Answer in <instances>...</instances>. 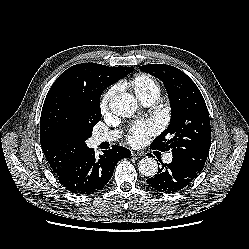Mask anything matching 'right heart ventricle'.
Here are the masks:
<instances>
[{
    "mask_svg": "<svg viewBox=\"0 0 249 249\" xmlns=\"http://www.w3.org/2000/svg\"><path fill=\"white\" fill-rule=\"evenodd\" d=\"M131 87L140 100L144 101L149 97L158 98L161 92L159 81L150 74L138 73L126 82Z\"/></svg>",
    "mask_w": 249,
    "mask_h": 249,
    "instance_id": "obj_1",
    "label": "right heart ventricle"
}]
</instances>
